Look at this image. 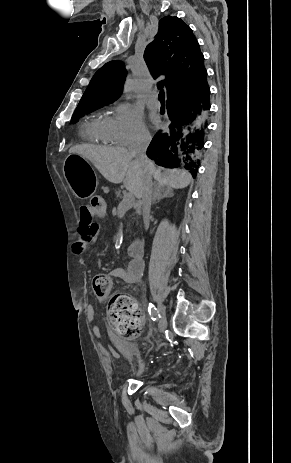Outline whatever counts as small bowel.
<instances>
[{
	"label": "small bowel",
	"instance_id": "c3829d8e",
	"mask_svg": "<svg viewBox=\"0 0 291 463\" xmlns=\"http://www.w3.org/2000/svg\"><path fill=\"white\" fill-rule=\"evenodd\" d=\"M95 217L101 216H99L90 205H84L80 208L77 230L78 237L72 245V251L74 254H84L88 250L89 246L96 240L100 231V226L94 221ZM84 264L89 266L90 262L85 260ZM143 267L144 264L142 258H135L132 256L126 268L113 269L109 272V275L128 283H137L141 279ZM90 324L91 326H95L94 317L90 319Z\"/></svg>",
	"mask_w": 291,
	"mask_h": 463
}]
</instances>
